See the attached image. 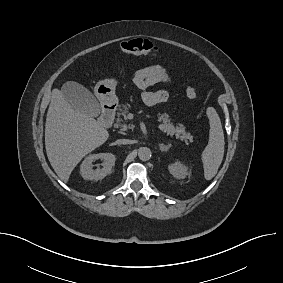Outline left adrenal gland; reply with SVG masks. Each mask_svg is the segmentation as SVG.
Returning a JSON list of instances; mask_svg holds the SVG:
<instances>
[{
    "label": "left adrenal gland",
    "instance_id": "left-adrenal-gland-1",
    "mask_svg": "<svg viewBox=\"0 0 283 283\" xmlns=\"http://www.w3.org/2000/svg\"><path fill=\"white\" fill-rule=\"evenodd\" d=\"M159 148L162 152H167L171 148V144L165 145L163 143L159 144Z\"/></svg>",
    "mask_w": 283,
    "mask_h": 283
}]
</instances>
